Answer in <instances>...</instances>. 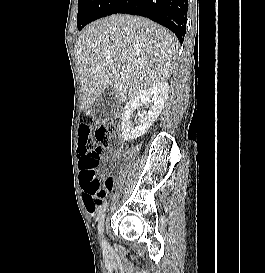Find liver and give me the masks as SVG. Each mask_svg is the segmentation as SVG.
I'll return each instance as SVG.
<instances>
[{"label": "liver", "instance_id": "obj_1", "mask_svg": "<svg viewBox=\"0 0 265 273\" xmlns=\"http://www.w3.org/2000/svg\"><path fill=\"white\" fill-rule=\"evenodd\" d=\"M179 47L174 34L144 17L117 14L93 22L75 44L83 109L109 87L125 102L166 81L175 68Z\"/></svg>", "mask_w": 265, "mask_h": 273}]
</instances>
